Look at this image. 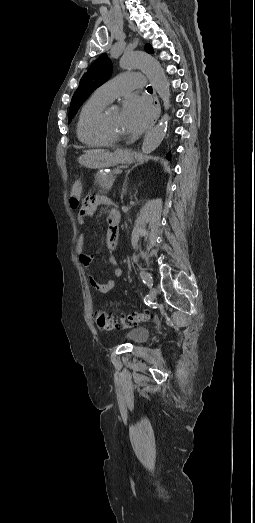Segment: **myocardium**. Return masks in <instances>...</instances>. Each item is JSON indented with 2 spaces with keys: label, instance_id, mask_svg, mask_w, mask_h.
Here are the masks:
<instances>
[{
  "label": "myocardium",
  "instance_id": "obj_1",
  "mask_svg": "<svg viewBox=\"0 0 255 523\" xmlns=\"http://www.w3.org/2000/svg\"><path fill=\"white\" fill-rule=\"evenodd\" d=\"M112 106H105L102 109L98 110L90 119L89 127L92 132L100 137L107 139L110 142H131L134 140V137L131 138H122L116 135L108 126L107 119L109 111L112 109Z\"/></svg>",
  "mask_w": 255,
  "mask_h": 523
}]
</instances>
